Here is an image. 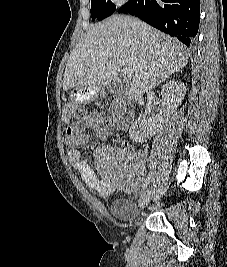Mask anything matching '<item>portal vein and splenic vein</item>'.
Instances as JSON below:
<instances>
[{"mask_svg":"<svg viewBox=\"0 0 227 267\" xmlns=\"http://www.w3.org/2000/svg\"><path fill=\"white\" fill-rule=\"evenodd\" d=\"M121 72L127 78L132 77L133 74H134V71L131 68H129V67H123L122 70H121Z\"/></svg>","mask_w":227,"mask_h":267,"instance_id":"obj_1","label":"portal vein and splenic vein"}]
</instances>
